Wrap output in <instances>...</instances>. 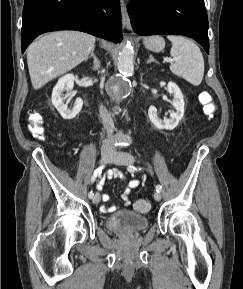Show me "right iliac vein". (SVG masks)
<instances>
[{
    "label": "right iliac vein",
    "mask_w": 243,
    "mask_h": 289,
    "mask_svg": "<svg viewBox=\"0 0 243 289\" xmlns=\"http://www.w3.org/2000/svg\"><path fill=\"white\" fill-rule=\"evenodd\" d=\"M112 157H113L112 152L107 151V150H103V151L101 152L100 163H101V164L107 163L108 161H110V160L112 159ZM100 200H101L100 194H99L98 192L95 193V195H94L93 198H92V202H93L94 204H98V203L100 202Z\"/></svg>",
    "instance_id": "obj_1"
}]
</instances>
